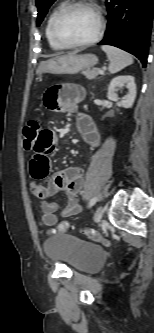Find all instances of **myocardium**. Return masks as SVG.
Here are the masks:
<instances>
[{
    "label": "myocardium",
    "instance_id": "1",
    "mask_svg": "<svg viewBox=\"0 0 154 333\" xmlns=\"http://www.w3.org/2000/svg\"><path fill=\"white\" fill-rule=\"evenodd\" d=\"M77 7H88L91 8L92 10H94V12L97 15V20H98V26H97V30L96 33L94 34L93 37H91L88 40L85 41H81V42H68L66 41L59 33L58 31V26L59 23L62 19V17L71 9L73 8H77ZM104 17L101 13V11L92 3L87 2V1H83V0H77V1H70L66 4H64L56 13V15L54 16L53 20H52V24H51V31H52V35L54 37V39L56 40V42L58 44H60L61 46H63L64 48H79V47H86V46H90L93 45L94 43H96L103 35L104 32Z\"/></svg>",
    "mask_w": 154,
    "mask_h": 333
}]
</instances>
